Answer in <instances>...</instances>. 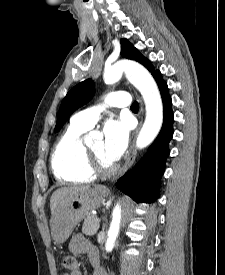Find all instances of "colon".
<instances>
[{
  "label": "colon",
  "instance_id": "5ec220e1",
  "mask_svg": "<svg viewBox=\"0 0 225 275\" xmlns=\"http://www.w3.org/2000/svg\"><path fill=\"white\" fill-rule=\"evenodd\" d=\"M62 265H63L64 269H66L70 272L76 271L78 269L77 260L72 255H66L63 258Z\"/></svg>",
  "mask_w": 225,
  "mask_h": 275
}]
</instances>
